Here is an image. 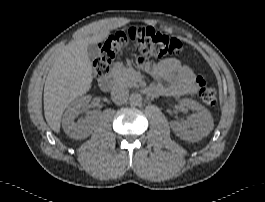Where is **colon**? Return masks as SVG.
Returning <instances> with one entry per match:
<instances>
[{
  "instance_id": "obj_1",
  "label": "colon",
  "mask_w": 265,
  "mask_h": 202,
  "mask_svg": "<svg viewBox=\"0 0 265 202\" xmlns=\"http://www.w3.org/2000/svg\"><path fill=\"white\" fill-rule=\"evenodd\" d=\"M131 44L137 52V61L142 67L150 65L152 58H162L180 54L182 43L179 39L169 36L150 27H131L117 31L104 38L100 50L93 62V78L105 76L119 56L122 47ZM198 96L207 106H215L217 92L215 86L204 76L196 79Z\"/></svg>"
}]
</instances>
